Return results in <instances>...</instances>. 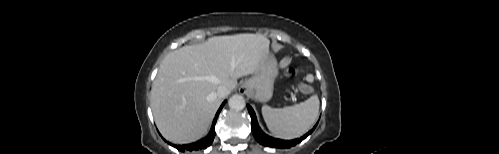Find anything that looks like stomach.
Segmentation results:
<instances>
[{
    "label": "stomach",
    "mask_w": 499,
    "mask_h": 154,
    "mask_svg": "<svg viewBox=\"0 0 499 154\" xmlns=\"http://www.w3.org/2000/svg\"><path fill=\"white\" fill-rule=\"evenodd\" d=\"M277 75V62L273 56L268 54L258 71L244 82L243 88L256 101L267 102L273 95L274 81Z\"/></svg>",
    "instance_id": "obj_1"
}]
</instances>
